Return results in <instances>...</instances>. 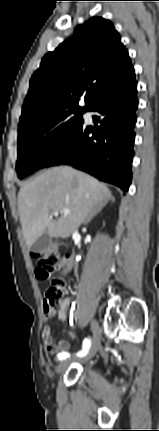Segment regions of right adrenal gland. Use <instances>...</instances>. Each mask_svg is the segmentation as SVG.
<instances>
[{
  "mask_svg": "<svg viewBox=\"0 0 159 431\" xmlns=\"http://www.w3.org/2000/svg\"><path fill=\"white\" fill-rule=\"evenodd\" d=\"M111 201H114V198L112 197V196H110V198H109ZM108 201V200H107ZM107 201H105V202H103V203H100L99 205H97L93 210H92V213L87 217V219L85 220V222L84 223H88V222H90L91 220H92V218L94 217V216H96V214L97 213H99L101 210H102V208L106 205V203H107Z\"/></svg>",
  "mask_w": 159,
  "mask_h": 431,
  "instance_id": "2a0ac1e0",
  "label": "right adrenal gland"
}]
</instances>
